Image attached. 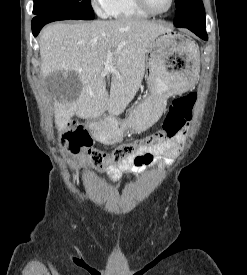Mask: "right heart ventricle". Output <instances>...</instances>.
<instances>
[{
	"mask_svg": "<svg viewBox=\"0 0 247 275\" xmlns=\"http://www.w3.org/2000/svg\"><path fill=\"white\" fill-rule=\"evenodd\" d=\"M108 16L114 19H144L149 14L138 6L136 0H111Z\"/></svg>",
	"mask_w": 247,
	"mask_h": 275,
	"instance_id": "right-heart-ventricle-1",
	"label": "right heart ventricle"
}]
</instances>
